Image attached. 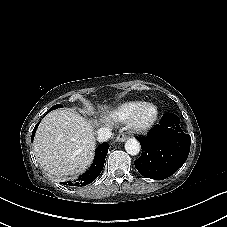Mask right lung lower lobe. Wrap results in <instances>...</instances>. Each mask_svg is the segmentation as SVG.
Returning a JSON list of instances; mask_svg holds the SVG:
<instances>
[{
	"label": "right lung lower lobe",
	"instance_id": "right-lung-lower-lobe-1",
	"mask_svg": "<svg viewBox=\"0 0 227 227\" xmlns=\"http://www.w3.org/2000/svg\"><path fill=\"white\" fill-rule=\"evenodd\" d=\"M38 125L39 123L36 124L33 130L32 137H31L32 142H33V138ZM108 149H109V145L106 142L99 145L95 150V158L91 167L83 175H81L80 178L75 183L71 181L62 182V183L69 186H79V187L92 183L99 176V174L103 169L105 157L107 155Z\"/></svg>",
	"mask_w": 227,
	"mask_h": 227
}]
</instances>
